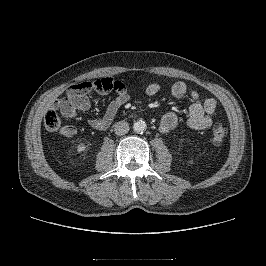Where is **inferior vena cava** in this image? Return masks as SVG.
<instances>
[{"label": "inferior vena cava", "instance_id": "602c4592", "mask_svg": "<svg viewBox=\"0 0 266 266\" xmlns=\"http://www.w3.org/2000/svg\"><path fill=\"white\" fill-rule=\"evenodd\" d=\"M129 131V124L126 121H119L114 124V132L116 135H124Z\"/></svg>", "mask_w": 266, "mask_h": 266}]
</instances>
